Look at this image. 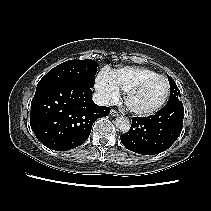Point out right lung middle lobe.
Segmentation results:
<instances>
[{"label":"right lung middle lobe","instance_id":"1","mask_svg":"<svg viewBox=\"0 0 211 211\" xmlns=\"http://www.w3.org/2000/svg\"><path fill=\"white\" fill-rule=\"evenodd\" d=\"M99 64L94 60H69L51 69L38 83L37 88L59 82H79L94 87Z\"/></svg>","mask_w":211,"mask_h":211}]
</instances>
